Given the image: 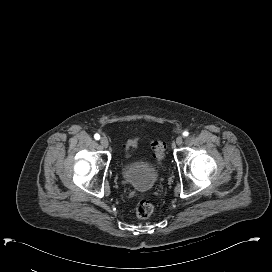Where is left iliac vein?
<instances>
[{"mask_svg": "<svg viewBox=\"0 0 272 272\" xmlns=\"http://www.w3.org/2000/svg\"><path fill=\"white\" fill-rule=\"evenodd\" d=\"M183 143V137L182 136H178L177 138H176V144L177 145H181Z\"/></svg>", "mask_w": 272, "mask_h": 272, "instance_id": "4c4485c4", "label": "left iliac vein"}]
</instances>
